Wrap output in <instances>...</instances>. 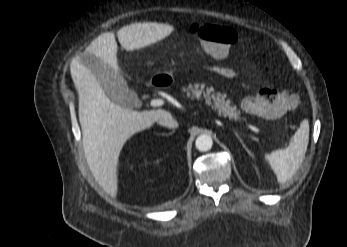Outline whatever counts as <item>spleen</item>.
Wrapping results in <instances>:
<instances>
[{"instance_id":"3e777b00","label":"spleen","mask_w":347,"mask_h":247,"mask_svg":"<svg viewBox=\"0 0 347 247\" xmlns=\"http://www.w3.org/2000/svg\"><path fill=\"white\" fill-rule=\"evenodd\" d=\"M308 141L309 123L304 119L287 148L265 154L264 158L275 171L280 184L287 183L301 166L307 151Z\"/></svg>"}]
</instances>
